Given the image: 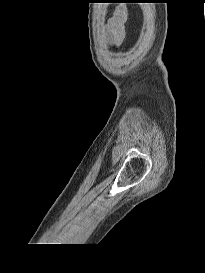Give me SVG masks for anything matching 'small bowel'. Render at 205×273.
Returning a JSON list of instances; mask_svg holds the SVG:
<instances>
[{"label":"small bowel","mask_w":205,"mask_h":273,"mask_svg":"<svg viewBox=\"0 0 205 273\" xmlns=\"http://www.w3.org/2000/svg\"><path fill=\"white\" fill-rule=\"evenodd\" d=\"M125 17L121 14H115L108 22L107 29L109 31V39L115 43H120L124 36L125 31L123 27V22Z\"/></svg>","instance_id":"small-bowel-1"}]
</instances>
